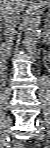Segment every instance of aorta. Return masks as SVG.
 Here are the masks:
<instances>
[{"mask_svg": "<svg viewBox=\"0 0 50 148\" xmlns=\"http://www.w3.org/2000/svg\"><path fill=\"white\" fill-rule=\"evenodd\" d=\"M43 8L38 3H34L27 14L24 31V46L30 55H34L36 51L37 37L39 34V26Z\"/></svg>", "mask_w": 50, "mask_h": 148, "instance_id": "762f6f07", "label": "aorta"}]
</instances>
